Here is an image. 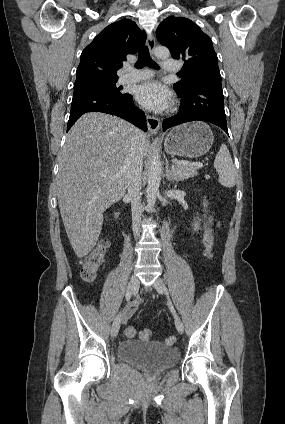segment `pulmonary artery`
<instances>
[{
    "label": "pulmonary artery",
    "mask_w": 285,
    "mask_h": 424,
    "mask_svg": "<svg viewBox=\"0 0 285 424\" xmlns=\"http://www.w3.org/2000/svg\"><path fill=\"white\" fill-rule=\"evenodd\" d=\"M163 69L165 72H173L179 69V63L176 60H165L163 62ZM152 72L150 70H137L130 73H126L120 77L119 82L121 84L138 82L151 78Z\"/></svg>",
    "instance_id": "obj_1"
}]
</instances>
